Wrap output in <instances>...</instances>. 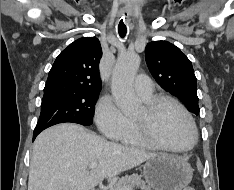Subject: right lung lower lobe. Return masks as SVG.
I'll list each match as a JSON object with an SVG mask.
<instances>
[{"label": "right lung lower lobe", "mask_w": 234, "mask_h": 190, "mask_svg": "<svg viewBox=\"0 0 234 190\" xmlns=\"http://www.w3.org/2000/svg\"><path fill=\"white\" fill-rule=\"evenodd\" d=\"M40 132H34L33 134V140L36 138V136L39 134Z\"/></svg>", "instance_id": "1"}]
</instances>
